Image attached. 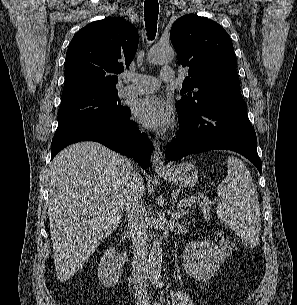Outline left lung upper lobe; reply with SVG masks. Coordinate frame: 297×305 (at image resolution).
I'll return each mask as SVG.
<instances>
[{"instance_id":"obj_1","label":"left lung upper lobe","mask_w":297,"mask_h":305,"mask_svg":"<svg viewBox=\"0 0 297 305\" xmlns=\"http://www.w3.org/2000/svg\"><path fill=\"white\" fill-rule=\"evenodd\" d=\"M178 64L188 69L177 109L193 112L206 102L240 90L234 48L216 22L195 14L177 19L170 32Z\"/></svg>"}]
</instances>
